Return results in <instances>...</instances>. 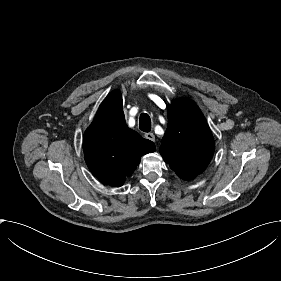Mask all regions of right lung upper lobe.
<instances>
[{
	"mask_svg": "<svg viewBox=\"0 0 281 281\" xmlns=\"http://www.w3.org/2000/svg\"><path fill=\"white\" fill-rule=\"evenodd\" d=\"M83 150L91 173L105 185L120 187L134 172L141 157L155 151V145L128 128L121 92L113 90L85 131Z\"/></svg>",
	"mask_w": 281,
	"mask_h": 281,
	"instance_id": "cb5924a9",
	"label": "right lung upper lobe"
}]
</instances>
